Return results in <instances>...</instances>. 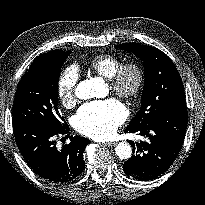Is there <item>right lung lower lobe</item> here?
Returning a JSON list of instances; mask_svg holds the SVG:
<instances>
[{
    "label": "right lung lower lobe",
    "instance_id": "98d812e1",
    "mask_svg": "<svg viewBox=\"0 0 205 205\" xmlns=\"http://www.w3.org/2000/svg\"><path fill=\"white\" fill-rule=\"evenodd\" d=\"M13 131L24 160L40 177L53 183H66L85 169L83 152L89 139L71 136L68 145L61 150L56 147V136L68 133V125L55 128L31 122L13 125Z\"/></svg>",
    "mask_w": 205,
    "mask_h": 205
}]
</instances>
